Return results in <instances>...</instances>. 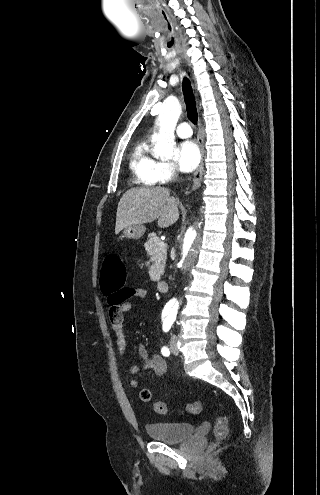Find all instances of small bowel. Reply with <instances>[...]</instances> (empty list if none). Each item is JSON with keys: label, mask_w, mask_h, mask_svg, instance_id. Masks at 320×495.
<instances>
[{"label": "small bowel", "mask_w": 320, "mask_h": 495, "mask_svg": "<svg viewBox=\"0 0 320 495\" xmlns=\"http://www.w3.org/2000/svg\"><path fill=\"white\" fill-rule=\"evenodd\" d=\"M121 292L126 294V299L122 302H118L117 297ZM146 295L147 290L145 288L136 286H124L120 292H111L106 294L109 309V320L111 327L116 334V344L119 355L122 359L124 358L127 346L123 330L124 314L132 310L134 306L132 299L135 298L138 300H143ZM138 357L142 362V367L144 369L152 370L155 375L161 376L166 372V360L159 355L150 357L146 345L142 343L138 345ZM139 370L140 368L138 366L132 365L128 368V373L129 375H136ZM129 385L131 388H137L138 381L131 379Z\"/></svg>", "instance_id": "obj_1"}]
</instances>
